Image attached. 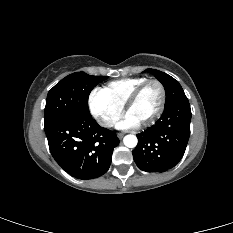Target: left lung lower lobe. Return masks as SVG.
<instances>
[{"instance_id": "0a47b994", "label": "left lung lower lobe", "mask_w": 233, "mask_h": 233, "mask_svg": "<svg viewBox=\"0 0 233 233\" xmlns=\"http://www.w3.org/2000/svg\"><path fill=\"white\" fill-rule=\"evenodd\" d=\"M191 109L186 96L165 107L160 119L138 135L133 150L137 166L146 172H164L183 157L190 136Z\"/></svg>"}]
</instances>
